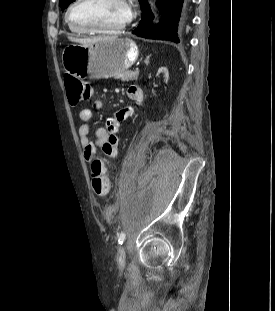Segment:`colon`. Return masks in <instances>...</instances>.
<instances>
[{"label": "colon", "mask_w": 275, "mask_h": 311, "mask_svg": "<svg viewBox=\"0 0 275 311\" xmlns=\"http://www.w3.org/2000/svg\"><path fill=\"white\" fill-rule=\"evenodd\" d=\"M64 84L67 96L72 106L88 102L93 97L91 86L76 79L73 76L65 75ZM91 183L93 191L98 196H105L110 191V179L102 161L96 159L92 163Z\"/></svg>", "instance_id": "colon-1"}]
</instances>
